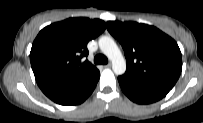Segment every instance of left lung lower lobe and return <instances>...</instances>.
<instances>
[{
	"mask_svg": "<svg viewBox=\"0 0 203 123\" xmlns=\"http://www.w3.org/2000/svg\"><path fill=\"white\" fill-rule=\"evenodd\" d=\"M118 81L124 94L133 102L138 104H149L156 102L170 91L165 87L139 81L127 76H119Z\"/></svg>",
	"mask_w": 203,
	"mask_h": 123,
	"instance_id": "1",
	"label": "left lung lower lobe"
}]
</instances>
